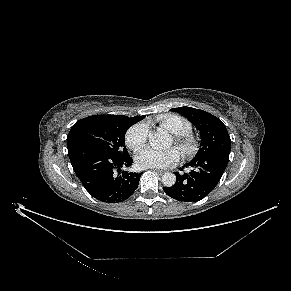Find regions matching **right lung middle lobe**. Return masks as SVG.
Here are the masks:
<instances>
[{"label": "right lung middle lobe", "mask_w": 291, "mask_h": 291, "mask_svg": "<svg viewBox=\"0 0 291 291\" xmlns=\"http://www.w3.org/2000/svg\"><path fill=\"white\" fill-rule=\"evenodd\" d=\"M133 123L123 119L86 121L70 131L67 147L83 142L101 148L117 157L128 156L124 137Z\"/></svg>", "instance_id": "right-lung-middle-lobe-1"}]
</instances>
